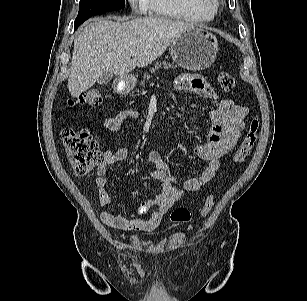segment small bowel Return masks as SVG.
Segmentation results:
<instances>
[{"label":"small bowel","mask_w":307,"mask_h":301,"mask_svg":"<svg viewBox=\"0 0 307 301\" xmlns=\"http://www.w3.org/2000/svg\"><path fill=\"white\" fill-rule=\"evenodd\" d=\"M175 87L179 91L195 92L204 95L215 103V107L209 112L210 129L207 141L195 148L196 156L205 161L207 166L198 177L188 178L182 188L177 186L176 178L167 169L160 153L151 151L147 155V161L151 166V176L161 185L160 193L142 201L128 215H118L110 211H102L100 220L111 227L123 231L154 230L173 205L185 193H196L202 190L216 175L220 169V158L230 152L236 145L241 131L244 128V120L248 114V108L236 104L230 99L220 97L211 86L198 75H180L175 81ZM139 118L138 110L126 108L115 115L107 117L102 122V128L109 132H117L128 119ZM128 150L121 148L116 151L106 150L102 153V161L97 167L95 184L98 191V200L101 206L111 205V196L107 189L106 174L111 165L126 160ZM153 207L149 218L143 216Z\"/></svg>","instance_id":"c3829d8e"}]
</instances>
